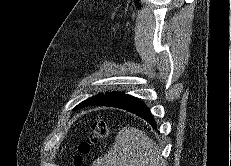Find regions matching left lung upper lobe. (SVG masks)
Wrapping results in <instances>:
<instances>
[{
	"instance_id": "left-lung-upper-lobe-1",
	"label": "left lung upper lobe",
	"mask_w": 231,
	"mask_h": 166,
	"mask_svg": "<svg viewBox=\"0 0 231 166\" xmlns=\"http://www.w3.org/2000/svg\"><path fill=\"white\" fill-rule=\"evenodd\" d=\"M106 93H107V92H106ZM102 95H104V94L101 93V94H98V95H96V96H92V97H90V98L84 100L83 102H81L80 104H78L73 110L81 109V108H83V107H85V106L90 105L95 99H97L98 97H100V96H102Z\"/></svg>"
}]
</instances>
